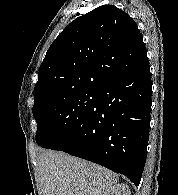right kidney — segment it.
Segmentation results:
<instances>
[{"label":"right kidney","instance_id":"1","mask_svg":"<svg viewBox=\"0 0 178 195\" xmlns=\"http://www.w3.org/2000/svg\"><path fill=\"white\" fill-rule=\"evenodd\" d=\"M103 195H130V190L127 185L118 183L107 188Z\"/></svg>","mask_w":178,"mask_h":195}]
</instances>
